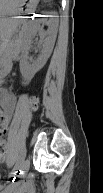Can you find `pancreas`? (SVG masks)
I'll return each mask as SVG.
<instances>
[{
	"label": "pancreas",
	"instance_id": "cf45deb5",
	"mask_svg": "<svg viewBox=\"0 0 103 193\" xmlns=\"http://www.w3.org/2000/svg\"><path fill=\"white\" fill-rule=\"evenodd\" d=\"M12 26H13V27H17V26H18V22H17V21H14V22L12 23ZM21 44H22V39H21V37H19V38L16 40V42H15V48H14L15 54H18V53H19L20 48H21Z\"/></svg>",
	"mask_w": 103,
	"mask_h": 193
}]
</instances>
